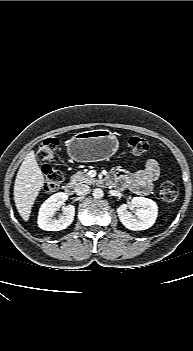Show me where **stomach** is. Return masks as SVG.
I'll use <instances>...</instances> for the list:
<instances>
[{
  "mask_svg": "<svg viewBox=\"0 0 193 351\" xmlns=\"http://www.w3.org/2000/svg\"><path fill=\"white\" fill-rule=\"evenodd\" d=\"M118 139L110 130L98 129L75 134L67 142V152L77 162L108 159L118 149Z\"/></svg>",
  "mask_w": 193,
  "mask_h": 351,
  "instance_id": "0dacf381",
  "label": "stomach"
}]
</instances>
